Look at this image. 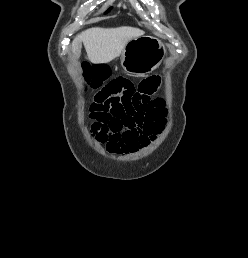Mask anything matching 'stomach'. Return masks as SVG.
<instances>
[{
  "label": "stomach",
  "mask_w": 248,
  "mask_h": 258,
  "mask_svg": "<svg viewBox=\"0 0 248 258\" xmlns=\"http://www.w3.org/2000/svg\"><path fill=\"white\" fill-rule=\"evenodd\" d=\"M166 53L163 43L152 36H141L130 40L120 55L123 70L133 75L154 71Z\"/></svg>",
  "instance_id": "0dacf381"
}]
</instances>
